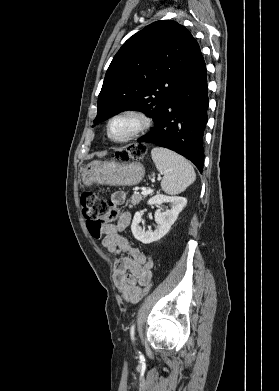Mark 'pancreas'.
Instances as JSON below:
<instances>
[{
    "mask_svg": "<svg viewBox=\"0 0 279 391\" xmlns=\"http://www.w3.org/2000/svg\"><path fill=\"white\" fill-rule=\"evenodd\" d=\"M144 199V196L140 195L139 193L135 192L132 196L131 199L129 200L130 206H135L140 203L141 200Z\"/></svg>",
    "mask_w": 279,
    "mask_h": 391,
    "instance_id": "1",
    "label": "pancreas"
}]
</instances>
